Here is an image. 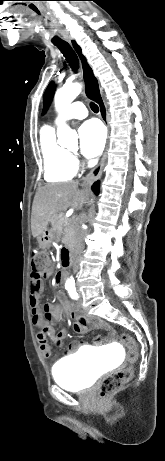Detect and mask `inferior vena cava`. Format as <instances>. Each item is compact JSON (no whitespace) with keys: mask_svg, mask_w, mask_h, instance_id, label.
I'll list each match as a JSON object with an SVG mask.
<instances>
[{"mask_svg":"<svg viewBox=\"0 0 165 461\" xmlns=\"http://www.w3.org/2000/svg\"><path fill=\"white\" fill-rule=\"evenodd\" d=\"M86 215L82 214L81 219H80V225L77 228V232L75 235V242H74V248L72 252V264H73V270L76 273L79 269V258L82 253V250L84 248V234L85 231L82 227V224L85 222Z\"/></svg>","mask_w":165,"mask_h":461,"instance_id":"1","label":"inferior vena cava"}]
</instances>
